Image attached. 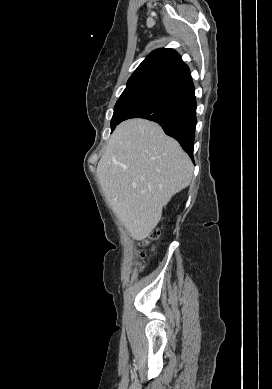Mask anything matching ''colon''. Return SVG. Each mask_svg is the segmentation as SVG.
Here are the masks:
<instances>
[{
	"label": "colon",
	"instance_id": "5ec220e1",
	"mask_svg": "<svg viewBox=\"0 0 272 389\" xmlns=\"http://www.w3.org/2000/svg\"><path fill=\"white\" fill-rule=\"evenodd\" d=\"M159 236H160V232L158 230H155V231H153L151 233L150 238L151 239H157ZM140 256L144 257V252L143 251L140 252Z\"/></svg>",
	"mask_w": 272,
	"mask_h": 389
}]
</instances>
